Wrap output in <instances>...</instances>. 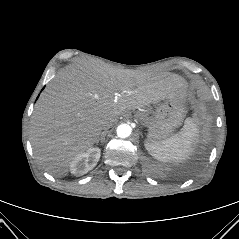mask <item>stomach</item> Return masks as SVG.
<instances>
[{"label":"stomach","mask_w":239,"mask_h":239,"mask_svg":"<svg viewBox=\"0 0 239 239\" xmlns=\"http://www.w3.org/2000/svg\"><path fill=\"white\" fill-rule=\"evenodd\" d=\"M186 108L184 95L176 94L173 98L159 103L156 110L150 112L151 121L148 127V141H163L171 137L185 117Z\"/></svg>","instance_id":"0dacf381"}]
</instances>
